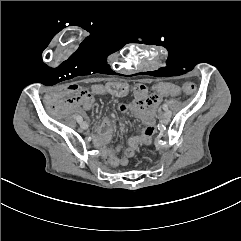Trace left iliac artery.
<instances>
[{"label":"left iliac artery","mask_w":241,"mask_h":241,"mask_svg":"<svg viewBox=\"0 0 241 241\" xmlns=\"http://www.w3.org/2000/svg\"><path fill=\"white\" fill-rule=\"evenodd\" d=\"M162 108H163L164 110H167V109H168V106H167L166 104H163Z\"/></svg>","instance_id":"1"}]
</instances>
